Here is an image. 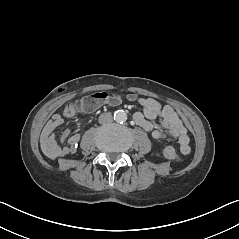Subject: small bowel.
<instances>
[{
  "instance_id": "obj_1",
  "label": "small bowel",
  "mask_w": 239,
  "mask_h": 239,
  "mask_svg": "<svg viewBox=\"0 0 239 239\" xmlns=\"http://www.w3.org/2000/svg\"><path fill=\"white\" fill-rule=\"evenodd\" d=\"M138 103L143 107L142 112L134 114V122L139 125L144 131L150 133L156 140L165 139L167 136L177 139L178 148L182 154L190 152V138L186 126L178 113L169 105H163L154 98H139ZM97 108V107H96ZM82 109L83 111L90 112L95 110ZM64 117L70 118L64 110ZM64 117L55 114L44 126L40 142L44 154L50 159H57L70 153H74L77 144L80 140L79 134H71V129H66L62 133L60 142L55 139V130L60 126ZM160 118L166 132L158 130L154 127L152 121Z\"/></svg>"
}]
</instances>
